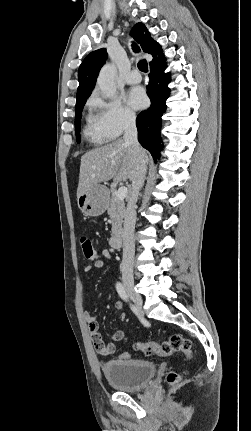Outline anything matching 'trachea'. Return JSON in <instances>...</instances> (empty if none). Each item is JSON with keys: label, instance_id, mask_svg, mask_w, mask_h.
Masks as SVG:
<instances>
[{"label": "trachea", "instance_id": "trachea-1", "mask_svg": "<svg viewBox=\"0 0 251 431\" xmlns=\"http://www.w3.org/2000/svg\"><path fill=\"white\" fill-rule=\"evenodd\" d=\"M132 49L136 53L140 51L139 47L137 45H135V44L132 45ZM138 69L140 71H142V72H148V65H147L146 60L139 61V63H138Z\"/></svg>", "mask_w": 251, "mask_h": 431}]
</instances>
